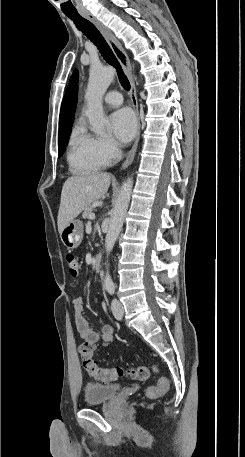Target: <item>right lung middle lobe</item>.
Here are the masks:
<instances>
[{"mask_svg":"<svg viewBox=\"0 0 245 457\" xmlns=\"http://www.w3.org/2000/svg\"><path fill=\"white\" fill-rule=\"evenodd\" d=\"M71 126H72V124L59 128V134H58V147H59L58 156L59 157L63 154V152L65 151V147L67 146L68 137L71 133Z\"/></svg>","mask_w":245,"mask_h":457,"instance_id":"1","label":"right lung middle lobe"}]
</instances>
